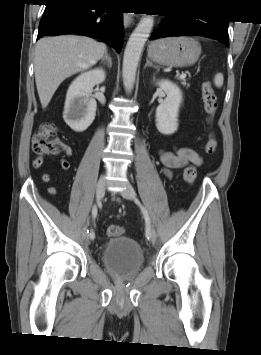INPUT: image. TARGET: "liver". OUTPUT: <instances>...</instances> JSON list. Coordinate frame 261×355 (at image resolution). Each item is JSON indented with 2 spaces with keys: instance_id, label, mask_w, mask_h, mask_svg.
<instances>
[{
  "instance_id": "liver-1",
  "label": "liver",
  "mask_w": 261,
  "mask_h": 355,
  "mask_svg": "<svg viewBox=\"0 0 261 355\" xmlns=\"http://www.w3.org/2000/svg\"><path fill=\"white\" fill-rule=\"evenodd\" d=\"M106 45L83 36L40 39L35 48L34 72L42 108L51 101L59 85L102 59Z\"/></svg>"
}]
</instances>
